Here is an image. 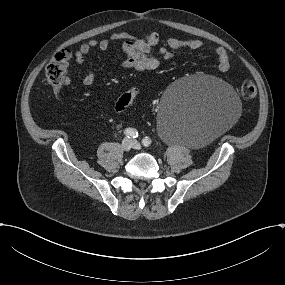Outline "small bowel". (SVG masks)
I'll list each match as a JSON object with an SVG mask.
<instances>
[{
	"label": "small bowel",
	"instance_id": "1",
	"mask_svg": "<svg viewBox=\"0 0 285 285\" xmlns=\"http://www.w3.org/2000/svg\"><path fill=\"white\" fill-rule=\"evenodd\" d=\"M121 42V49L124 54L120 66L124 69H133L139 71L154 70L159 66L160 59L170 60L174 56V51L188 49L198 51L205 47L201 40H180L169 38L166 45L159 47L158 55L153 54V50L159 45V36L156 32H150L143 37H137L126 32L112 34L109 38L97 40L91 39L82 44L75 52V59L78 64L85 61L86 56L95 49L106 51L114 42ZM214 54L218 60V67L221 72H227L230 69V58L223 47L214 48ZM95 81V74L88 70L82 76V83L90 86ZM71 80L66 77L60 86L65 87Z\"/></svg>",
	"mask_w": 285,
	"mask_h": 285
}]
</instances>
